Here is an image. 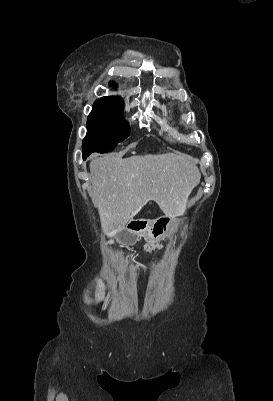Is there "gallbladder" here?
<instances>
[{"label":"gallbladder","instance_id":"bac80fb5","mask_svg":"<svg viewBox=\"0 0 273 401\" xmlns=\"http://www.w3.org/2000/svg\"><path fill=\"white\" fill-rule=\"evenodd\" d=\"M137 235H138L137 232L134 230L126 231L125 227H120L117 237L119 241H123V244L125 246H135L136 245L135 238L137 237Z\"/></svg>","mask_w":273,"mask_h":401}]
</instances>
